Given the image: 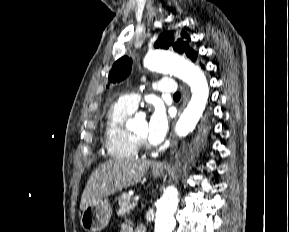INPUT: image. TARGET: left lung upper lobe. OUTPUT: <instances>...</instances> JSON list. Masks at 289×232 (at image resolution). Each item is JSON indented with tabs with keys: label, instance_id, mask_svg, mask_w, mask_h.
<instances>
[{
	"label": "left lung upper lobe",
	"instance_id": "obj_1",
	"mask_svg": "<svg viewBox=\"0 0 289 232\" xmlns=\"http://www.w3.org/2000/svg\"><path fill=\"white\" fill-rule=\"evenodd\" d=\"M189 40V35L184 31H182L180 38H178L173 32L168 31L163 32L159 36L158 40L154 43V47L163 49L173 47L176 52L186 54V56L192 61H195L197 59V53L190 48ZM131 69L132 59L123 56L113 64L108 79L111 83L123 81L129 76Z\"/></svg>",
	"mask_w": 289,
	"mask_h": 232
}]
</instances>
